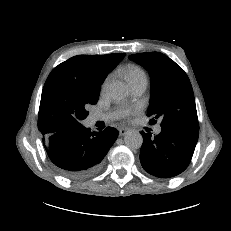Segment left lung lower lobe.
<instances>
[{"label":"left lung lower lobe","mask_w":231,"mask_h":231,"mask_svg":"<svg viewBox=\"0 0 231 231\" xmlns=\"http://www.w3.org/2000/svg\"><path fill=\"white\" fill-rule=\"evenodd\" d=\"M141 134L142 167L153 176L170 178L182 173L188 167L197 144L199 130L162 127V131L154 138L143 131Z\"/></svg>","instance_id":"1"}]
</instances>
